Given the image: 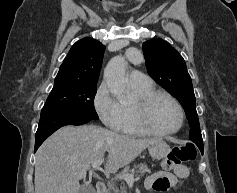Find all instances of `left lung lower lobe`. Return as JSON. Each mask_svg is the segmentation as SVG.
<instances>
[{"mask_svg": "<svg viewBox=\"0 0 237 193\" xmlns=\"http://www.w3.org/2000/svg\"><path fill=\"white\" fill-rule=\"evenodd\" d=\"M201 153L203 154V148L200 149Z\"/></svg>", "mask_w": 237, "mask_h": 193, "instance_id": "obj_1", "label": "left lung lower lobe"}]
</instances>
